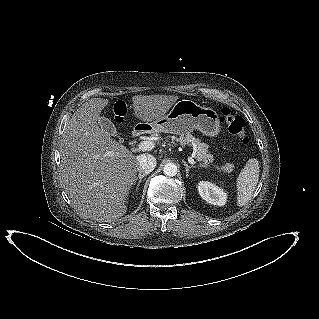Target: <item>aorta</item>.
<instances>
[{
    "mask_svg": "<svg viewBox=\"0 0 319 319\" xmlns=\"http://www.w3.org/2000/svg\"><path fill=\"white\" fill-rule=\"evenodd\" d=\"M163 172L166 176L173 177L177 174V166L174 163L164 165Z\"/></svg>",
    "mask_w": 319,
    "mask_h": 319,
    "instance_id": "1",
    "label": "aorta"
}]
</instances>
